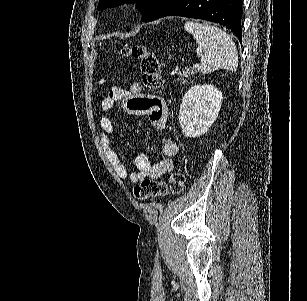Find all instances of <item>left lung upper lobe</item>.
<instances>
[{
	"mask_svg": "<svg viewBox=\"0 0 307 301\" xmlns=\"http://www.w3.org/2000/svg\"><path fill=\"white\" fill-rule=\"evenodd\" d=\"M175 1L176 0H100L97 9L103 10L126 2H137V9L144 15L143 21L150 22L156 20L159 15Z\"/></svg>",
	"mask_w": 307,
	"mask_h": 301,
	"instance_id": "1",
	"label": "left lung upper lobe"
}]
</instances>
